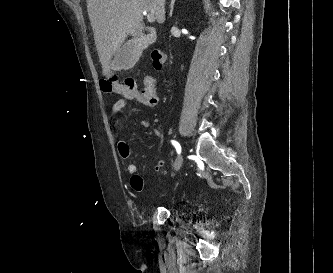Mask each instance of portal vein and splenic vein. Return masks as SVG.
I'll list each match as a JSON object with an SVG mask.
<instances>
[{"mask_svg": "<svg viewBox=\"0 0 333 273\" xmlns=\"http://www.w3.org/2000/svg\"><path fill=\"white\" fill-rule=\"evenodd\" d=\"M144 14H146V12H145ZM147 20H148V22L152 23V22H154V21H155V18H154V16H153V15H151V14H148V15H147Z\"/></svg>", "mask_w": 333, "mask_h": 273, "instance_id": "portal-vein-and-splenic-vein-1", "label": "portal vein and splenic vein"}]
</instances>
